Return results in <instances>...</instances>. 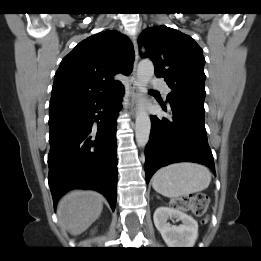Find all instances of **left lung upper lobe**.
Segmentation results:
<instances>
[{
    "label": "left lung upper lobe",
    "instance_id": "1",
    "mask_svg": "<svg viewBox=\"0 0 261 261\" xmlns=\"http://www.w3.org/2000/svg\"><path fill=\"white\" fill-rule=\"evenodd\" d=\"M153 61L155 75L164 78L172 92L169 102L184 98L204 106L205 59L194 39L165 25L145 29L138 38Z\"/></svg>",
    "mask_w": 261,
    "mask_h": 261
}]
</instances>
